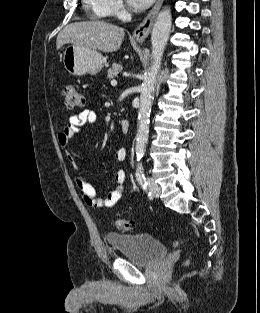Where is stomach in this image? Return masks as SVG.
<instances>
[{"label": "stomach", "mask_w": 260, "mask_h": 313, "mask_svg": "<svg viewBox=\"0 0 260 313\" xmlns=\"http://www.w3.org/2000/svg\"><path fill=\"white\" fill-rule=\"evenodd\" d=\"M104 59L97 50L69 45L63 52V64L72 75H96L103 68Z\"/></svg>", "instance_id": "obj_1"}]
</instances>
